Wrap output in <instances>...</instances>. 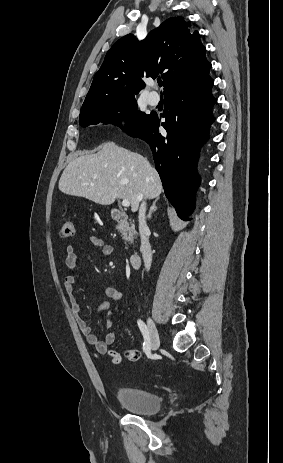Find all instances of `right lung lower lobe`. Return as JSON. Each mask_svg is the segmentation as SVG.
I'll return each instance as SVG.
<instances>
[{
  "label": "right lung lower lobe",
  "instance_id": "right-lung-lower-lobe-1",
  "mask_svg": "<svg viewBox=\"0 0 283 463\" xmlns=\"http://www.w3.org/2000/svg\"><path fill=\"white\" fill-rule=\"evenodd\" d=\"M214 81L209 75L187 85L166 92L161 125L159 117L151 113L136 132L130 134L145 140L153 152L165 195L179 217L187 220L193 210V199L200 179L196 173L197 152L208 139V129L214 118L211 108L216 102L211 94Z\"/></svg>",
  "mask_w": 283,
  "mask_h": 463
}]
</instances>
